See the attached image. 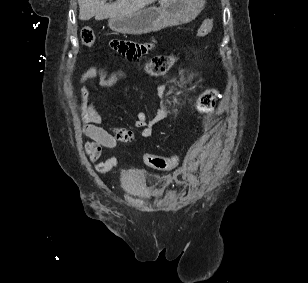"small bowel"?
Segmentation results:
<instances>
[{
	"mask_svg": "<svg viewBox=\"0 0 308 283\" xmlns=\"http://www.w3.org/2000/svg\"><path fill=\"white\" fill-rule=\"evenodd\" d=\"M153 45V41L147 43H134L113 40L110 43L113 52L128 59L141 58L152 49ZM124 76L125 73L123 71L108 73L106 70H97L95 68L87 69L81 76L80 81L83 83V87L80 92V113L83 120V134L89 139L84 145V150L91 162H97L99 160L104 148L113 149L118 143H128L134 138L133 131L128 128L119 127L107 129L103 127V117L96 103L89 99V84L92 81H96L100 88L106 89L116 84ZM167 114L168 106L163 100L159 103L157 113L152 119H148L145 112H138L135 125L142 129L141 136L143 138L150 137L154 126L164 120ZM116 164L117 159L110 158L106 161L96 163L95 169L100 173H106L114 168ZM180 171L185 173L189 179L193 178L191 171L184 168L180 169Z\"/></svg>",
	"mask_w": 308,
	"mask_h": 283,
	"instance_id": "c3829d8e",
	"label": "small bowel"
}]
</instances>
